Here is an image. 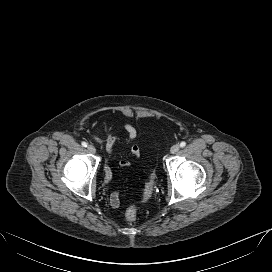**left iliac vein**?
I'll return each mask as SVG.
<instances>
[{"instance_id": "1", "label": "left iliac vein", "mask_w": 272, "mask_h": 272, "mask_svg": "<svg viewBox=\"0 0 272 272\" xmlns=\"http://www.w3.org/2000/svg\"><path fill=\"white\" fill-rule=\"evenodd\" d=\"M179 149H180V146H179L178 144H175V145H173V146L171 147L170 152H171L172 154H175V153H177V152L179 151Z\"/></svg>"}]
</instances>
